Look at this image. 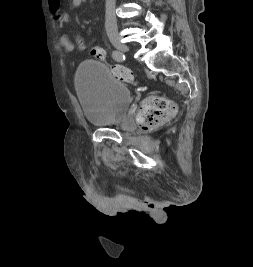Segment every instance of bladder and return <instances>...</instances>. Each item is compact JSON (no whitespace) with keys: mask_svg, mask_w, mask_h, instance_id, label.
<instances>
[{"mask_svg":"<svg viewBox=\"0 0 253 267\" xmlns=\"http://www.w3.org/2000/svg\"><path fill=\"white\" fill-rule=\"evenodd\" d=\"M75 82L83 115L91 125L114 124L131 103L129 87L99 61L83 62Z\"/></svg>","mask_w":253,"mask_h":267,"instance_id":"obj_1","label":"bladder"}]
</instances>
